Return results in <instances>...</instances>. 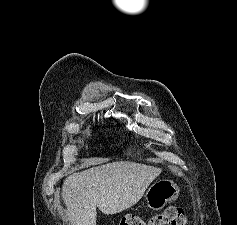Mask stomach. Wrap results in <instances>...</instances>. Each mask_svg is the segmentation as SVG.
<instances>
[{"instance_id":"obj_1","label":"stomach","mask_w":237,"mask_h":225,"mask_svg":"<svg viewBox=\"0 0 237 225\" xmlns=\"http://www.w3.org/2000/svg\"><path fill=\"white\" fill-rule=\"evenodd\" d=\"M179 187L169 179L154 182L146 192V201L152 210H161L179 195Z\"/></svg>"}]
</instances>
